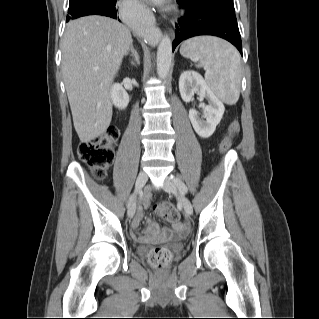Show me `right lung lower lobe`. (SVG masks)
<instances>
[{"instance_id": "98d812e1", "label": "right lung lower lobe", "mask_w": 319, "mask_h": 319, "mask_svg": "<svg viewBox=\"0 0 319 319\" xmlns=\"http://www.w3.org/2000/svg\"><path fill=\"white\" fill-rule=\"evenodd\" d=\"M117 2L118 0H94L83 9L67 18V21L87 15H102L114 19L118 18L119 20V17H117Z\"/></svg>"}]
</instances>
